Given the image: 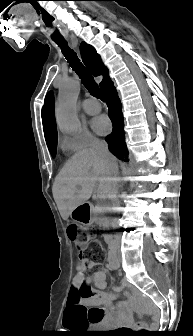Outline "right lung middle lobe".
I'll return each mask as SVG.
<instances>
[{
  "mask_svg": "<svg viewBox=\"0 0 193 336\" xmlns=\"http://www.w3.org/2000/svg\"><path fill=\"white\" fill-rule=\"evenodd\" d=\"M56 145H57V137L53 138L49 142H47L48 149L52 155V157H55L56 154Z\"/></svg>",
  "mask_w": 193,
  "mask_h": 336,
  "instance_id": "1",
  "label": "right lung middle lobe"
}]
</instances>
